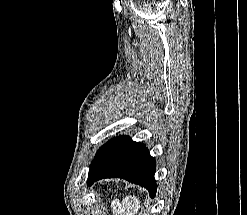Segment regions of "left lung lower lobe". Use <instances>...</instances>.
<instances>
[{
  "label": "left lung lower lobe",
  "instance_id": "0a47b994",
  "mask_svg": "<svg viewBox=\"0 0 247 215\" xmlns=\"http://www.w3.org/2000/svg\"><path fill=\"white\" fill-rule=\"evenodd\" d=\"M155 160L142 143L129 137L113 138L96 153L90 165L88 185L103 178L120 177L156 193Z\"/></svg>",
  "mask_w": 247,
  "mask_h": 215
}]
</instances>
